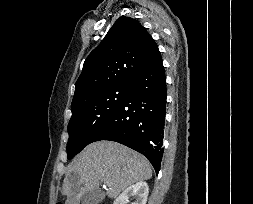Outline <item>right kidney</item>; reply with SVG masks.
Returning <instances> with one entry per match:
<instances>
[{
    "instance_id": "1",
    "label": "right kidney",
    "mask_w": 253,
    "mask_h": 204,
    "mask_svg": "<svg viewBox=\"0 0 253 204\" xmlns=\"http://www.w3.org/2000/svg\"><path fill=\"white\" fill-rule=\"evenodd\" d=\"M149 193V187L146 182L139 181L131 185L115 200L114 204H126L129 198L134 197V202L131 204H146Z\"/></svg>"
}]
</instances>
